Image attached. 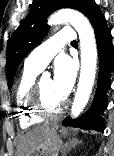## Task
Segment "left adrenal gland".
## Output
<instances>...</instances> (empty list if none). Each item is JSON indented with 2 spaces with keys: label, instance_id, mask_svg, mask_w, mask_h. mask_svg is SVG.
<instances>
[{
  "label": "left adrenal gland",
  "instance_id": "obj_1",
  "mask_svg": "<svg viewBox=\"0 0 114 156\" xmlns=\"http://www.w3.org/2000/svg\"><path fill=\"white\" fill-rule=\"evenodd\" d=\"M81 141L78 140H74L71 141L68 145H65L64 149H63V156H66V153L69 152L72 148H74L78 143H80Z\"/></svg>",
  "mask_w": 114,
  "mask_h": 156
}]
</instances>
